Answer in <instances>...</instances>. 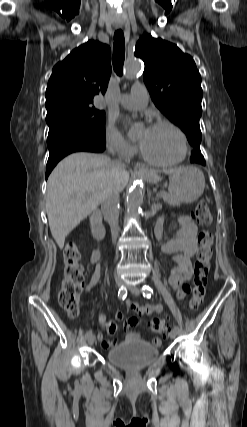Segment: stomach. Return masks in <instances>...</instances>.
Returning <instances> with one entry per match:
<instances>
[{
	"label": "stomach",
	"instance_id": "obj_1",
	"mask_svg": "<svg viewBox=\"0 0 247 427\" xmlns=\"http://www.w3.org/2000/svg\"><path fill=\"white\" fill-rule=\"evenodd\" d=\"M169 193L180 203H193L203 193L205 178L202 171L194 166H183L168 171ZM147 181L156 183L161 180L157 175L146 177Z\"/></svg>",
	"mask_w": 247,
	"mask_h": 427
}]
</instances>
